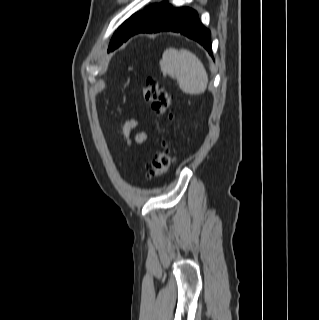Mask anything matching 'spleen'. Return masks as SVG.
Segmentation results:
<instances>
[{"label": "spleen", "instance_id": "spleen-1", "mask_svg": "<svg viewBox=\"0 0 319 320\" xmlns=\"http://www.w3.org/2000/svg\"><path fill=\"white\" fill-rule=\"evenodd\" d=\"M161 71L177 79L180 89L190 95L202 94L208 74L200 59L186 49H166L160 60Z\"/></svg>", "mask_w": 319, "mask_h": 320}]
</instances>
